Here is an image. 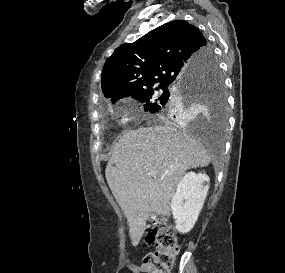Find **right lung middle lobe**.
Returning <instances> with one entry per match:
<instances>
[{"label":"right lung middle lobe","mask_w":285,"mask_h":273,"mask_svg":"<svg viewBox=\"0 0 285 273\" xmlns=\"http://www.w3.org/2000/svg\"><path fill=\"white\" fill-rule=\"evenodd\" d=\"M205 60L208 63L207 67L191 77L188 87L179 89L177 86L160 85L161 93H156L151 88L132 97L144 104L145 111L169 119L179 117L185 108L192 105L207 104L217 113V129L223 132L226 125V95L224 81L211 48Z\"/></svg>","instance_id":"right-lung-middle-lobe-1"}]
</instances>
